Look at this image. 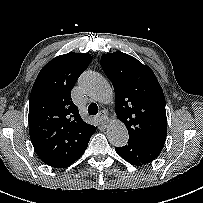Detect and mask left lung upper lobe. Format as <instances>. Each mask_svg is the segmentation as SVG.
Instances as JSON below:
<instances>
[{"mask_svg": "<svg viewBox=\"0 0 203 203\" xmlns=\"http://www.w3.org/2000/svg\"><path fill=\"white\" fill-rule=\"evenodd\" d=\"M101 67L113 84L115 112L129 140L161 151L167 135L165 97L153 71L123 52L102 55Z\"/></svg>", "mask_w": 203, "mask_h": 203, "instance_id": "1", "label": "left lung upper lobe"}]
</instances>
